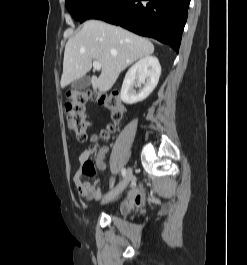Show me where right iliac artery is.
Masks as SVG:
<instances>
[{"label": "right iliac artery", "mask_w": 247, "mask_h": 265, "mask_svg": "<svg viewBox=\"0 0 247 265\" xmlns=\"http://www.w3.org/2000/svg\"><path fill=\"white\" fill-rule=\"evenodd\" d=\"M121 173H122V176L125 177V175H126V173H127L126 169L123 168L122 171H121Z\"/></svg>", "instance_id": "obj_1"}]
</instances>
